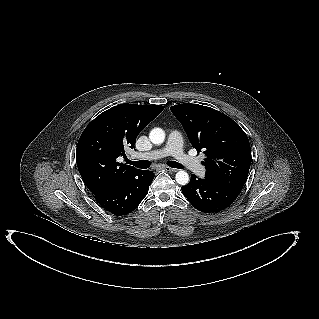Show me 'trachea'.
<instances>
[{"mask_svg":"<svg viewBox=\"0 0 319 319\" xmlns=\"http://www.w3.org/2000/svg\"><path fill=\"white\" fill-rule=\"evenodd\" d=\"M126 162L140 169H147L151 165V162L148 160L131 161L127 159ZM167 164L172 168H177V169L183 168L182 165L176 161H168Z\"/></svg>","mask_w":319,"mask_h":319,"instance_id":"1","label":"trachea"}]
</instances>
